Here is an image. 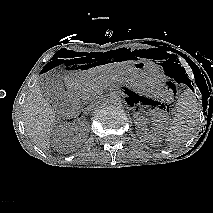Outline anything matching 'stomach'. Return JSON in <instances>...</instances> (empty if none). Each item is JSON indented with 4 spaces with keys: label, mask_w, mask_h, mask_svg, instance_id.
<instances>
[{
    "label": "stomach",
    "mask_w": 213,
    "mask_h": 213,
    "mask_svg": "<svg viewBox=\"0 0 213 213\" xmlns=\"http://www.w3.org/2000/svg\"><path fill=\"white\" fill-rule=\"evenodd\" d=\"M106 77L122 76L145 90H155L164 82L161 67L151 61L139 60L126 65H105L101 69H89L88 71L70 74L67 82L70 85L87 84L93 80H101Z\"/></svg>",
    "instance_id": "1"
}]
</instances>
